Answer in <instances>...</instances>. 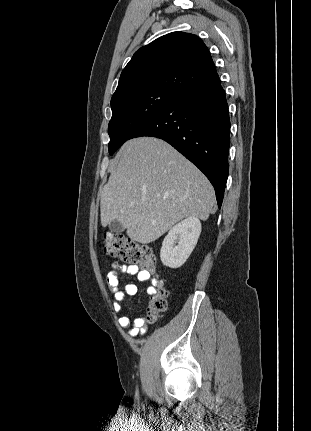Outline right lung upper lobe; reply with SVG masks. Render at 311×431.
<instances>
[{
  "mask_svg": "<svg viewBox=\"0 0 311 431\" xmlns=\"http://www.w3.org/2000/svg\"><path fill=\"white\" fill-rule=\"evenodd\" d=\"M218 78L210 52L196 35L173 32L135 52L113 97L141 89L177 94Z\"/></svg>",
  "mask_w": 311,
  "mask_h": 431,
  "instance_id": "1",
  "label": "right lung upper lobe"
}]
</instances>
